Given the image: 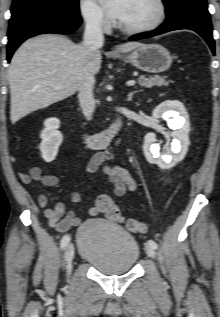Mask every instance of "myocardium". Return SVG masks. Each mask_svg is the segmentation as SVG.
<instances>
[{
    "label": "myocardium",
    "mask_w": 220,
    "mask_h": 317,
    "mask_svg": "<svg viewBox=\"0 0 220 317\" xmlns=\"http://www.w3.org/2000/svg\"><path fill=\"white\" fill-rule=\"evenodd\" d=\"M157 7L156 18L149 24L140 27H126L118 24V28L125 34L128 35H141L154 31L157 29L164 21L166 16V4L164 0H153Z\"/></svg>",
    "instance_id": "1"
}]
</instances>
